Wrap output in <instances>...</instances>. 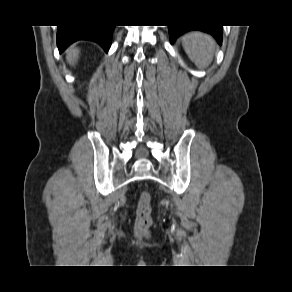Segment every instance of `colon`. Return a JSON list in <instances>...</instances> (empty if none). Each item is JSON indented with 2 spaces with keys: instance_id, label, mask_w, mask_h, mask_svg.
Instances as JSON below:
<instances>
[{
  "instance_id": "1",
  "label": "colon",
  "mask_w": 292,
  "mask_h": 292,
  "mask_svg": "<svg viewBox=\"0 0 292 292\" xmlns=\"http://www.w3.org/2000/svg\"><path fill=\"white\" fill-rule=\"evenodd\" d=\"M153 224L151 195L144 191L139 196L136 220H135V233L142 237L149 234L150 228Z\"/></svg>"
}]
</instances>
